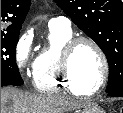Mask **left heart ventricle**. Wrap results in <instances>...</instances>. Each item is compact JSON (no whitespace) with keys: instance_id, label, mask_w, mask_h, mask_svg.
Wrapping results in <instances>:
<instances>
[{"instance_id":"1","label":"left heart ventricle","mask_w":123,"mask_h":113,"mask_svg":"<svg viewBox=\"0 0 123 113\" xmlns=\"http://www.w3.org/2000/svg\"><path fill=\"white\" fill-rule=\"evenodd\" d=\"M71 73L74 83L86 91H91L98 85L102 65L92 46L81 44L78 47L71 60Z\"/></svg>"}]
</instances>
